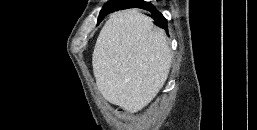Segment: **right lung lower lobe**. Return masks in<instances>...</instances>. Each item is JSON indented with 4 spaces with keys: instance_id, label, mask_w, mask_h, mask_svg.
<instances>
[{
    "instance_id": "right-lung-lower-lobe-1",
    "label": "right lung lower lobe",
    "mask_w": 257,
    "mask_h": 130,
    "mask_svg": "<svg viewBox=\"0 0 257 130\" xmlns=\"http://www.w3.org/2000/svg\"><path fill=\"white\" fill-rule=\"evenodd\" d=\"M126 1L127 2L125 3V6L119 8L118 10L127 9V8H141V9L148 10L153 13V18L155 19L154 23L156 25H159L167 29V20L163 17V15L160 12L156 10V8L151 3L145 2L143 0H126Z\"/></svg>"
}]
</instances>
